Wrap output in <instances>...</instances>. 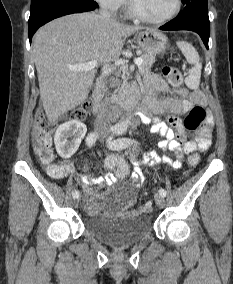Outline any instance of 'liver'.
Segmentation results:
<instances>
[{
	"label": "liver",
	"mask_w": 233,
	"mask_h": 284,
	"mask_svg": "<svg viewBox=\"0 0 233 284\" xmlns=\"http://www.w3.org/2000/svg\"><path fill=\"white\" fill-rule=\"evenodd\" d=\"M143 29L96 13L67 15L41 27L34 36L33 57L48 120L54 122L82 104L93 84L95 69L75 72L68 66L115 61L125 39Z\"/></svg>",
	"instance_id": "6515ba94"
}]
</instances>
